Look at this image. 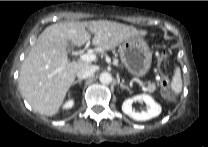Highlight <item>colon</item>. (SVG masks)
<instances>
[{"label": "colon", "mask_w": 208, "mask_h": 147, "mask_svg": "<svg viewBox=\"0 0 208 147\" xmlns=\"http://www.w3.org/2000/svg\"><path fill=\"white\" fill-rule=\"evenodd\" d=\"M160 78L162 85H166L168 83V77L165 73H163L162 69H160Z\"/></svg>", "instance_id": "1"}]
</instances>
